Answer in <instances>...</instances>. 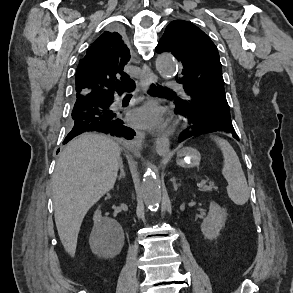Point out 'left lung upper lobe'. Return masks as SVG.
I'll return each mask as SVG.
<instances>
[{
    "label": "left lung upper lobe",
    "mask_w": 293,
    "mask_h": 293,
    "mask_svg": "<svg viewBox=\"0 0 293 293\" xmlns=\"http://www.w3.org/2000/svg\"><path fill=\"white\" fill-rule=\"evenodd\" d=\"M156 51L171 52L180 61L176 80L183 85L188 98H176L175 103L205 121L214 118L231 120L219 53L202 30L187 21H172Z\"/></svg>",
    "instance_id": "5c2ea615"
}]
</instances>
